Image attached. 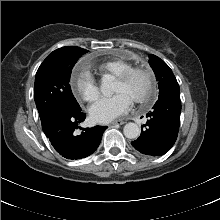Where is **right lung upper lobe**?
Listing matches in <instances>:
<instances>
[{
    "mask_svg": "<svg viewBox=\"0 0 220 220\" xmlns=\"http://www.w3.org/2000/svg\"><path fill=\"white\" fill-rule=\"evenodd\" d=\"M61 49H72V50H79V51H84L85 49L79 48V47H73V46H67V47H62Z\"/></svg>",
    "mask_w": 220,
    "mask_h": 220,
    "instance_id": "obj_1",
    "label": "right lung upper lobe"
}]
</instances>
